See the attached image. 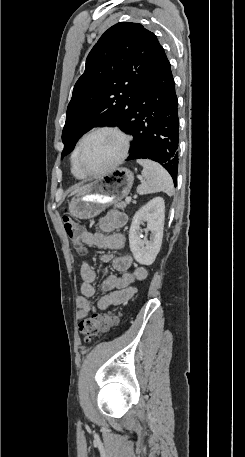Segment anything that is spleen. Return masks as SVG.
Listing matches in <instances>:
<instances>
[{
    "instance_id": "3e777b00",
    "label": "spleen",
    "mask_w": 245,
    "mask_h": 457,
    "mask_svg": "<svg viewBox=\"0 0 245 457\" xmlns=\"http://www.w3.org/2000/svg\"><path fill=\"white\" fill-rule=\"evenodd\" d=\"M137 162L143 166L142 176L147 178L145 182L138 184V194H151V192H160V190L167 192L169 196L174 194L173 180L161 164L148 160V158H137Z\"/></svg>"
}]
</instances>
